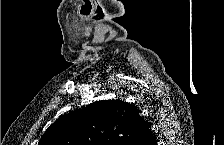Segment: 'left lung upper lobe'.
<instances>
[{"label": "left lung upper lobe", "mask_w": 224, "mask_h": 145, "mask_svg": "<svg viewBox=\"0 0 224 145\" xmlns=\"http://www.w3.org/2000/svg\"><path fill=\"white\" fill-rule=\"evenodd\" d=\"M143 121L135 105L96 101L61 116L38 145H131Z\"/></svg>", "instance_id": "left-lung-upper-lobe-1"}]
</instances>
